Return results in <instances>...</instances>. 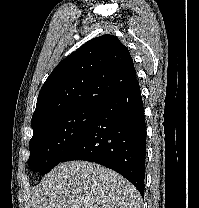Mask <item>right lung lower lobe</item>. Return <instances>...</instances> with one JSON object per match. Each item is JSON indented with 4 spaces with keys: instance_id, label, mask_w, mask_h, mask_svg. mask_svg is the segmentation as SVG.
Here are the masks:
<instances>
[{
    "instance_id": "98d812e1",
    "label": "right lung lower lobe",
    "mask_w": 199,
    "mask_h": 208,
    "mask_svg": "<svg viewBox=\"0 0 199 208\" xmlns=\"http://www.w3.org/2000/svg\"><path fill=\"white\" fill-rule=\"evenodd\" d=\"M138 81L99 104L76 145L61 162L86 160L120 173L144 196L146 124Z\"/></svg>"
}]
</instances>
